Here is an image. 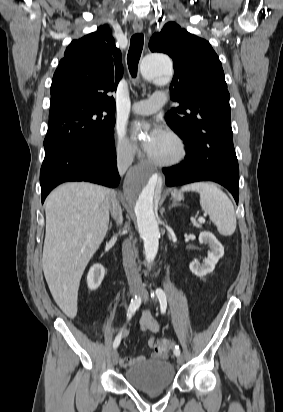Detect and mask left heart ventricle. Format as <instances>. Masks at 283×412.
<instances>
[{"instance_id":"b2bd125f","label":"left heart ventricle","mask_w":283,"mask_h":412,"mask_svg":"<svg viewBox=\"0 0 283 412\" xmlns=\"http://www.w3.org/2000/svg\"><path fill=\"white\" fill-rule=\"evenodd\" d=\"M178 148L175 141L166 133L156 146L149 152V154L155 159L167 161L174 158L177 155Z\"/></svg>"}]
</instances>
